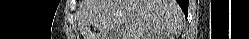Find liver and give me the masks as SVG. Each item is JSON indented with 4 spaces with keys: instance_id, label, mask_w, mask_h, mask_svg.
Segmentation results:
<instances>
[{
    "instance_id": "obj_1",
    "label": "liver",
    "mask_w": 249,
    "mask_h": 39,
    "mask_svg": "<svg viewBox=\"0 0 249 39\" xmlns=\"http://www.w3.org/2000/svg\"><path fill=\"white\" fill-rule=\"evenodd\" d=\"M79 13L83 39L168 37L180 32L183 21L176 0H83ZM92 27L99 32H92ZM116 29L122 30V38H113Z\"/></svg>"
}]
</instances>
